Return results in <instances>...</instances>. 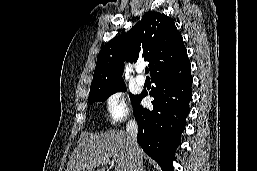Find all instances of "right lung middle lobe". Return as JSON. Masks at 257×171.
I'll list each match as a JSON object with an SVG mask.
<instances>
[{
    "label": "right lung middle lobe",
    "mask_w": 257,
    "mask_h": 171,
    "mask_svg": "<svg viewBox=\"0 0 257 171\" xmlns=\"http://www.w3.org/2000/svg\"><path fill=\"white\" fill-rule=\"evenodd\" d=\"M120 91H126L125 84H121V85H118L115 87L90 92L88 101H89V103H94V102H98V101L103 102L106 99H108V97L111 96L112 94H114L116 92H120ZM130 97H131L132 104H134V102L138 98V95L130 94Z\"/></svg>",
    "instance_id": "dd1d6c3e"
}]
</instances>
